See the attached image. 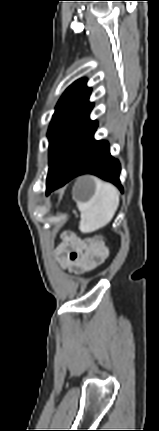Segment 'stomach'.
Here are the masks:
<instances>
[{
  "label": "stomach",
  "mask_w": 159,
  "mask_h": 431,
  "mask_svg": "<svg viewBox=\"0 0 159 431\" xmlns=\"http://www.w3.org/2000/svg\"><path fill=\"white\" fill-rule=\"evenodd\" d=\"M96 191V180L91 176L78 178L73 187V199L78 202H88Z\"/></svg>",
  "instance_id": "0dacf381"
}]
</instances>
